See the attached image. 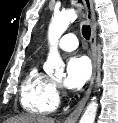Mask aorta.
Masks as SVG:
<instances>
[{
  "label": "aorta",
  "mask_w": 118,
  "mask_h": 123,
  "mask_svg": "<svg viewBox=\"0 0 118 123\" xmlns=\"http://www.w3.org/2000/svg\"><path fill=\"white\" fill-rule=\"evenodd\" d=\"M76 11L68 9L59 14H55L48 29L49 54L44 65V70L48 74L62 76L64 73V63L58 51V42L61 35L66 31L69 24L76 19ZM98 103L96 97H93L87 105L79 123H94L97 113Z\"/></svg>",
  "instance_id": "1"
}]
</instances>
